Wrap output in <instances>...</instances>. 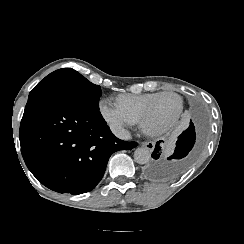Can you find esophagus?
Listing matches in <instances>:
<instances>
[{
  "mask_svg": "<svg viewBox=\"0 0 244 244\" xmlns=\"http://www.w3.org/2000/svg\"><path fill=\"white\" fill-rule=\"evenodd\" d=\"M142 146L148 149L150 152L154 150L155 142L154 141H146L142 143Z\"/></svg>",
  "mask_w": 244,
  "mask_h": 244,
  "instance_id": "obj_1",
  "label": "esophagus"
}]
</instances>
